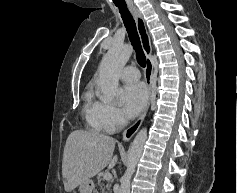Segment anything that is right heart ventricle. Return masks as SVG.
<instances>
[{"mask_svg": "<svg viewBox=\"0 0 237 193\" xmlns=\"http://www.w3.org/2000/svg\"><path fill=\"white\" fill-rule=\"evenodd\" d=\"M83 115L88 126L96 132H106L101 119V103L95 98L92 85H89L83 93Z\"/></svg>", "mask_w": 237, "mask_h": 193, "instance_id": "right-heart-ventricle-1", "label": "right heart ventricle"}]
</instances>
